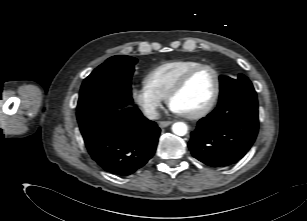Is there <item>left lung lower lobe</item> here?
Masks as SVG:
<instances>
[{"label": "left lung lower lobe", "instance_id": "obj_1", "mask_svg": "<svg viewBox=\"0 0 307 221\" xmlns=\"http://www.w3.org/2000/svg\"><path fill=\"white\" fill-rule=\"evenodd\" d=\"M258 133L256 93L243 94L218 104L191 133L192 155L211 167L238 162L249 151Z\"/></svg>", "mask_w": 307, "mask_h": 221}]
</instances>
